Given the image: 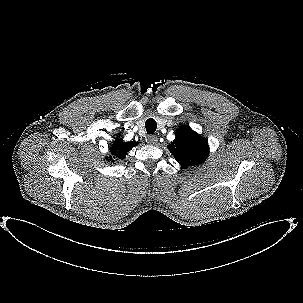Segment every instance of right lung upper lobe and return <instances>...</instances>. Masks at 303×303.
Returning a JSON list of instances; mask_svg holds the SVG:
<instances>
[{
    "label": "right lung upper lobe",
    "instance_id": "obj_1",
    "mask_svg": "<svg viewBox=\"0 0 303 303\" xmlns=\"http://www.w3.org/2000/svg\"><path fill=\"white\" fill-rule=\"evenodd\" d=\"M136 145L137 142L135 141L124 142L122 139H118L110 148V152L112 153L115 159H123L127 152ZM109 160H112V156H110Z\"/></svg>",
    "mask_w": 303,
    "mask_h": 303
}]
</instances>
